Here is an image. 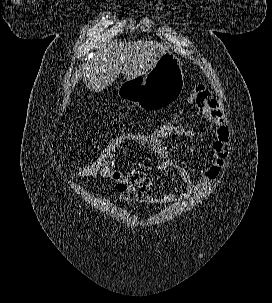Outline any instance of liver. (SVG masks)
I'll return each mask as SVG.
<instances>
[{"label":"liver","instance_id":"6515ba94","mask_svg":"<svg viewBox=\"0 0 272 303\" xmlns=\"http://www.w3.org/2000/svg\"><path fill=\"white\" fill-rule=\"evenodd\" d=\"M169 48L155 41H113L104 45L83 70L87 87L100 92L110 86L120 73L127 80L146 75Z\"/></svg>","mask_w":272,"mask_h":303}]
</instances>
